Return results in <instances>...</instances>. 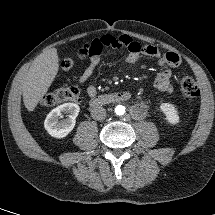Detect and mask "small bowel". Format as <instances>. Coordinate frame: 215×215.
<instances>
[{"mask_svg": "<svg viewBox=\"0 0 215 215\" xmlns=\"http://www.w3.org/2000/svg\"><path fill=\"white\" fill-rule=\"evenodd\" d=\"M105 48L126 49V61L128 63H136L143 56L155 59L159 67H165L156 75L154 80L155 88L167 94L173 92V75L170 68H176L181 64L179 55L174 52H167L162 56L157 47L153 45L142 47L128 35L118 37L103 35L86 43L79 49V56L81 58L88 57L89 59V64L78 77L80 84L86 83L93 76L96 67L101 61V55ZM86 92L89 97H94L97 93V88L95 85L89 84Z\"/></svg>", "mask_w": 215, "mask_h": 215, "instance_id": "c3829d8e", "label": "small bowel"}]
</instances>
